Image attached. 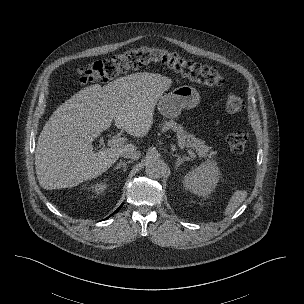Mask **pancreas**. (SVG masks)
Listing matches in <instances>:
<instances>
[{
    "mask_svg": "<svg viewBox=\"0 0 304 304\" xmlns=\"http://www.w3.org/2000/svg\"><path fill=\"white\" fill-rule=\"evenodd\" d=\"M160 127L163 131L172 129L177 133L179 142L184 147H191L196 151V153L203 158H211L216 154L211 147L205 144V141L199 138H196L194 135L189 134L183 129L181 125L176 123L174 120L163 121L160 124Z\"/></svg>",
    "mask_w": 304,
    "mask_h": 304,
    "instance_id": "obj_1",
    "label": "pancreas"
}]
</instances>
